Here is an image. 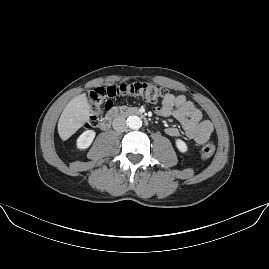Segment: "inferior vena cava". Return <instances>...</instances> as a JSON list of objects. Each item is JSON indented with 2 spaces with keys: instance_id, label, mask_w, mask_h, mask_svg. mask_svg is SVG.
I'll return each instance as SVG.
<instances>
[{
  "instance_id": "obj_1",
  "label": "inferior vena cava",
  "mask_w": 269,
  "mask_h": 269,
  "mask_svg": "<svg viewBox=\"0 0 269 269\" xmlns=\"http://www.w3.org/2000/svg\"><path fill=\"white\" fill-rule=\"evenodd\" d=\"M113 129L118 132H124L128 128L127 121L124 117H115L112 122Z\"/></svg>"
}]
</instances>
